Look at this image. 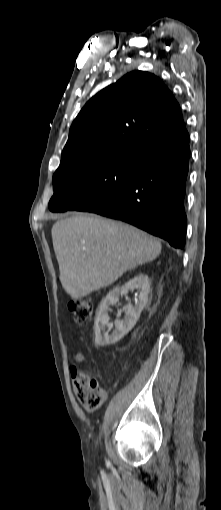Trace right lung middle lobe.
Wrapping results in <instances>:
<instances>
[{
    "label": "right lung middle lobe",
    "mask_w": 221,
    "mask_h": 510,
    "mask_svg": "<svg viewBox=\"0 0 221 510\" xmlns=\"http://www.w3.org/2000/svg\"><path fill=\"white\" fill-rule=\"evenodd\" d=\"M148 150L123 147L86 153L60 163L53 175L52 212L81 210L105 202L135 176Z\"/></svg>",
    "instance_id": "dd1d6c3e"
}]
</instances>
